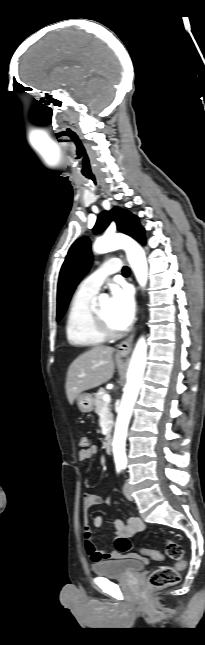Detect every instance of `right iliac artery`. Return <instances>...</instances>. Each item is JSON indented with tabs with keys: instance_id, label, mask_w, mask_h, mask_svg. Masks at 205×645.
Here are the masks:
<instances>
[{
	"instance_id": "82829eb1",
	"label": "right iliac artery",
	"mask_w": 205,
	"mask_h": 645,
	"mask_svg": "<svg viewBox=\"0 0 205 645\" xmlns=\"http://www.w3.org/2000/svg\"><path fill=\"white\" fill-rule=\"evenodd\" d=\"M121 468V466H117V472H120Z\"/></svg>"
}]
</instances>
